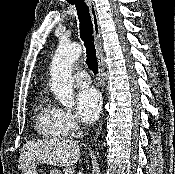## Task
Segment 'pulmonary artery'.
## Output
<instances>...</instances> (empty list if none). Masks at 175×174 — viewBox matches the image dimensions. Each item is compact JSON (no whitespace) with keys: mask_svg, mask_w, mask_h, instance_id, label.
<instances>
[{"mask_svg":"<svg viewBox=\"0 0 175 174\" xmlns=\"http://www.w3.org/2000/svg\"><path fill=\"white\" fill-rule=\"evenodd\" d=\"M74 82L79 86H88L90 84V76L85 71H78L74 74Z\"/></svg>","mask_w":175,"mask_h":174,"instance_id":"obj_1","label":"pulmonary artery"}]
</instances>
